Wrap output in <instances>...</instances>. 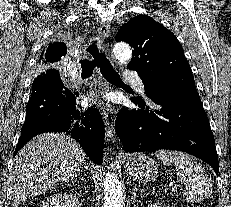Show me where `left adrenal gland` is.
<instances>
[{
  "label": "left adrenal gland",
  "mask_w": 231,
  "mask_h": 207,
  "mask_svg": "<svg viewBox=\"0 0 231 207\" xmlns=\"http://www.w3.org/2000/svg\"><path fill=\"white\" fill-rule=\"evenodd\" d=\"M137 195H138V193H137V188H135L134 192L132 193V200H133V202H134L135 199L137 198Z\"/></svg>",
  "instance_id": "a2214340"
}]
</instances>
